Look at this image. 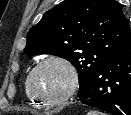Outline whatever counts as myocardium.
Masks as SVG:
<instances>
[{"mask_svg":"<svg viewBox=\"0 0 131 115\" xmlns=\"http://www.w3.org/2000/svg\"><path fill=\"white\" fill-rule=\"evenodd\" d=\"M56 63L63 66L69 74V84L64 92L56 98H44L34 91L33 88V77L35 73L44 65ZM79 85V75L76 67L73 63L65 57L52 55L40 60L29 72L27 76V89L30 95L36 99L40 104L48 107L59 106L60 104L67 101L77 90Z\"/></svg>","mask_w":131,"mask_h":115,"instance_id":"1","label":"myocardium"}]
</instances>
